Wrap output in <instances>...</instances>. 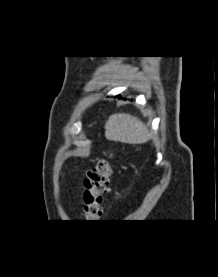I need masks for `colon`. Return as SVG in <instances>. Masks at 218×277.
<instances>
[{
	"instance_id": "1",
	"label": "colon",
	"mask_w": 218,
	"mask_h": 277,
	"mask_svg": "<svg viewBox=\"0 0 218 277\" xmlns=\"http://www.w3.org/2000/svg\"><path fill=\"white\" fill-rule=\"evenodd\" d=\"M111 174V165L105 159L99 160L86 171L83 203V218L86 222H95L100 218Z\"/></svg>"
}]
</instances>
